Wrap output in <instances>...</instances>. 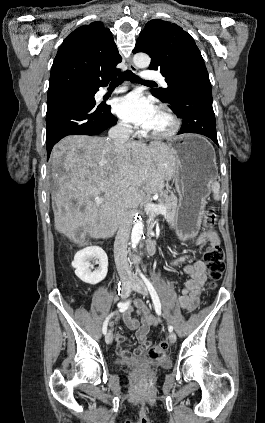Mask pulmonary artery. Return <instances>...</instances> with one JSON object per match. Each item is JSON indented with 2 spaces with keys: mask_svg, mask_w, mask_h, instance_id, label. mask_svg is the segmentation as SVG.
I'll return each mask as SVG.
<instances>
[{
  "mask_svg": "<svg viewBox=\"0 0 265 423\" xmlns=\"http://www.w3.org/2000/svg\"><path fill=\"white\" fill-rule=\"evenodd\" d=\"M143 80L145 81H153L156 79H161L163 86H167V84L163 81V79L161 78V75L158 72L155 71H151V70H146L142 76ZM126 90L125 87H119L117 89H115L113 91V93H121L124 92ZM107 91L105 90L104 93H106Z\"/></svg>",
  "mask_w": 265,
  "mask_h": 423,
  "instance_id": "obj_1",
  "label": "pulmonary artery"
}]
</instances>
